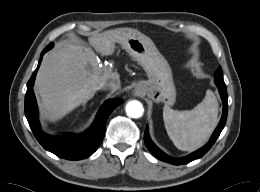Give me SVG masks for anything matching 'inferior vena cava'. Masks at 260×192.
I'll return each mask as SVG.
<instances>
[{
	"mask_svg": "<svg viewBox=\"0 0 260 192\" xmlns=\"http://www.w3.org/2000/svg\"><path fill=\"white\" fill-rule=\"evenodd\" d=\"M100 88L104 89V90L116 91L120 88V80L119 79H111L109 81L103 82L100 85Z\"/></svg>",
	"mask_w": 260,
	"mask_h": 192,
	"instance_id": "602c4592",
	"label": "inferior vena cava"
}]
</instances>
